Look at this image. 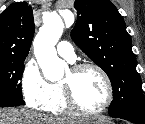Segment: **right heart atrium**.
I'll list each match as a JSON object with an SVG mask.
<instances>
[{
    "label": "right heart atrium",
    "mask_w": 145,
    "mask_h": 124,
    "mask_svg": "<svg viewBox=\"0 0 145 124\" xmlns=\"http://www.w3.org/2000/svg\"><path fill=\"white\" fill-rule=\"evenodd\" d=\"M21 90L25 101L33 108L40 109L50 101V84L42 76L34 59H30L24 65Z\"/></svg>",
    "instance_id": "1"
}]
</instances>
